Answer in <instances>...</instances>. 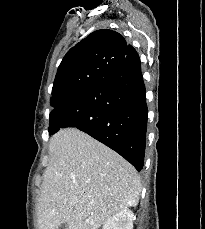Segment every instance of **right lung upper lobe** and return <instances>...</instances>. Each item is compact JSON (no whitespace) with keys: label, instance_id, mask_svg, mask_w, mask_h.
<instances>
[{"label":"right lung upper lobe","instance_id":"obj_1","mask_svg":"<svg viewBox=\"0 0 205 229\" xmlns=\"http://www.w3.org/2000/svg\"><path fill=\"white\" fill-rule=\"evenodd\" d=\"M130 47L115 31L92 32L71 48L61 61L50 104L61 105L63 99L73 97L104 78L125 60Z\"/></svg>","mask_w":205,"mask_h":229}]
</instances>
